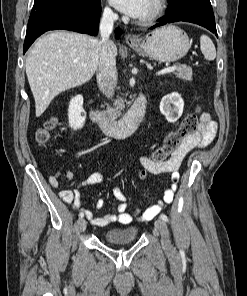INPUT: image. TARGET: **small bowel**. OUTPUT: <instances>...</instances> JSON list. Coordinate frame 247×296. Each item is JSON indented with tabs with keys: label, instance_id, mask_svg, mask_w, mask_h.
<instances>
[{
	"label": "small bowel",
	"instance_id": "1",
	"mask_svg": "<svg viewBox=\"0 0 247 296\" xmlns=\"http://www.w3.org/2000/svg\"><path fill=\"white\" fill-rule=\"evenodd\" d=\"M217 126L216 123L212 120L211 115L207 112H204L200 115L199 119V131L192 136L187 137L179 149L175 151L172 156L165 162L156 163L149 157H143L141 159V164L146 168L151 174H170L171 175V186L165 190L163 193V198L157 203L149 201L143 210L137 209L134 214L128 213V204L127 198L122 190L115 186L113 188V195L118 201L117 212L116 213H107L104 216H95L92 211L85 209L81 206L80 192L79 189L69 190L63 189L59 191L60 198L67 204H72L75 209L80 213L85 215L91 224L105 227L110 224L118 223L123 225H128L134 221L136 218H142L145 220L153 218L157 215L164 204H170L173 201L174 194L176 191L177 181L173 179L174 176L179 177V167L183 158L186 154L196 147H205L211 143L216 135ZM65 177L68 180L74 178V173L72 171H67ZM105 181V177L101 173L91 174L86 178L80 185L89 186L95 184H101ZM50 184L52 187L57 188L59 183L56 178H50ZM96 208L101 209L105 206L103 199H98L95 203Z\"/></svg>",
	"mask_w": 247,
	"mask_h": 296
}]
</instances>
